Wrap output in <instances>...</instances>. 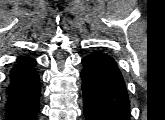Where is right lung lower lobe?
I'll use <instances>...</instances> for the list:
<instances>
[{
	"instance_id": "right-lung-lower-lobe-1",
	"label": "right lung lower lobe",
	"mask_w": 165,
	"mask_h": 120,
	"mask_svg": "<svg viewBox=\"0 0 165 120\" xmlns=\"http://www.w3.org/2000/svg\"><path fill=\"white\" fill-rule=\"evenodd\" d=\"M7 94L6 120L37 119L41 85L34 58H18L10 72Z\"/></svg>"
}]
</instances>
